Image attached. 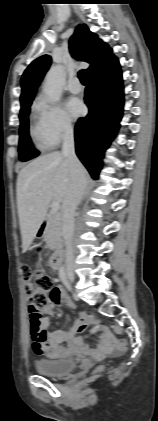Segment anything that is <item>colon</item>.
I'll return each mask as SVG.
<instances>
[{
	"instance_id": "obj_1",
	"label": "colon",
	"mask_w": 158,
	"mask_h": 421,
	"mask_svg": "<svg viewBox=\"0 0 158 421\" xmlns=\"http://www.w3.org/2000/svg\"><path fill=\"white\" fill-rule=\"evenodd\" d=\"M21 271L28 298L30 322L36 325L40 321V310L48 303L51 281L42 271L34 269L30 265L23 264ZM91 327L94 330H99L100 324L92 320ZM115 347L119 353H122L126 350V343L123 340H117Z\"/></svg>"
}]
</instances>
